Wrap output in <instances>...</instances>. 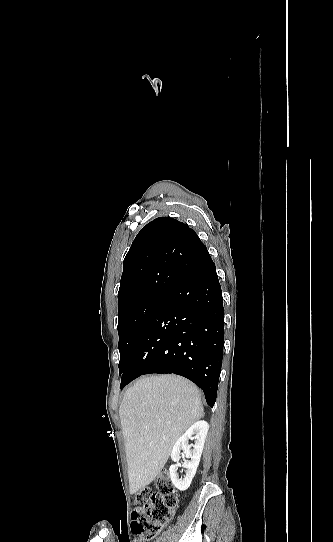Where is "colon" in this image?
<instances>
[{
    "instance_id": "5ec220e1",
    "label": "colon",
    "mask_w": 333,
    "mask_h": 542,
    "mask_svg": "<svg viewBox=\"0 0 333 542\" xmlns=\"http://www.w3.org/2000/svg\"><path fill=\"white\" fill-rule=\"evenodd\" d=\"M154 484L158 489L153 494L149 489H142L134 500L136 516L133 517L132 537L137 540L152 539L172 518L178 505L177 494L168 470L160 472Z\"/></svg>"
}]
</instances>
